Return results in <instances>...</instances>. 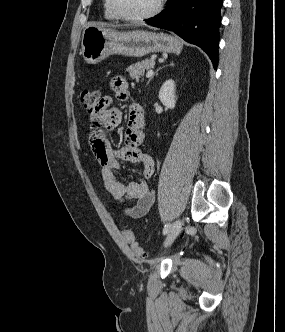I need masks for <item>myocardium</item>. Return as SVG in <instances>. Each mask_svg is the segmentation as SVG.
Masks as SVG:
<instances>
[{
    "instance_id": "1",
    "label": "myocardium",
    "mask_w": 285,
    "mask_h": 332,
    "mask_svg": "<svg viewBox=\"0 0 285 332\" xmlns=\"http://www.w3.org/2000/svg\"><path fill=\"white\" fill-rule=\"evenodd\" d=\"M164 2H165V0H158L155 8L152 11H150L149 13L139 15V16H127L118 11L113 0H107L109 9L115 15L116 18L123 20V21H129V22H141V21H146V20L154 18L161 12Z\"/></svg>"
}]
</instances>
